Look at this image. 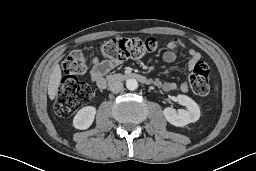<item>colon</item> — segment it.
<instances>
[{
  "label": "colon",
  "instance_id": "1",
  "mask_svg": "<svg viewBox=\"0 0 256 171\" xmlns=\"http://www.w3.org/2000/svg\"><path fill=\"white\" fill-rule=\"evenodd\" d=\"M156 49L157 41L154 38H113L101 46V53L109 59L122 61L141 58ZM87 67V54L83 50H74L64 59L62 69L66 75L59 83L55 102V112L58 116L69 117L90 101V85L77 78L86 72ZM209 82L210 72L207 64L196 63L189 76L192 91L200 96L207 95L210 89Z\"/></svg>",
  "mask_w": 256,
  "mask_h": 171
}]
</instances>
